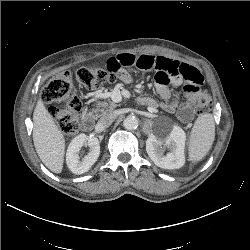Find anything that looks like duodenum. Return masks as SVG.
Returning <instances> with one entry per match:
<instances>
[{"instance_id":"410a0bca","label":"duodenum","mask_w":250,"mask_h":250,"mask_svg":"<svg viewBox=\"0 0 250 250\" xmlns=\"http://www.w3.org/2000/svg\"><path fill=\"white\" fill-rule=\"evenodd\" d=\"M94 116L91 113L86 114L82 119V128L85 131H90L93 128Z\"/></svg>"}]
</instances>
